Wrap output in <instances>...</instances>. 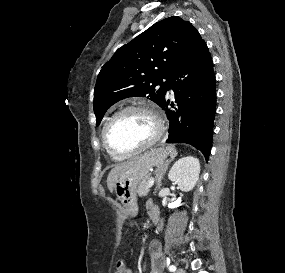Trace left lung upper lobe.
I'll return each instance as SVG.
<instances>
[{"mask_svg":"<svg viewBox=\"0 0 285 273\" xmlns=\"http://www.w3.org/2000/svg\"><path fill=\"white\" fill-rule=\"evenodd\" d=\"M194 30L189 21L172 16L119 48L97 77L96 125L109 107L124 98L147 97L160 106Z\"/></svg>","mask_w":285,"mask_h":273,"instance_id":"1","label":"left lung upper lobe"}]
</instances>
